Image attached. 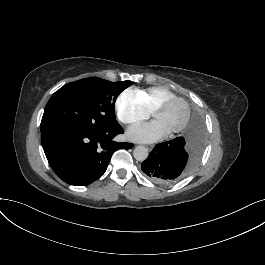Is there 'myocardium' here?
Listing matches in <instances>:
<instances>
[{"label":"myocardium","instance_id":"obj_1","mask_svg":"<svg viewBox=\"0 0 265 265\" xmlns=\"http://www.w3.org/2000/svg\"><path fill=\"white\" fill-rule=\"evenodd\" d=\"M180 102L183 106V109H184V113H183V117L181 119V121L175 125L173 128H171L168 133H177V132H180L182 131L188 121H189V117H190V106L189 104L187 103V101L181 97H177V96H169V97H166L162 100H160L158 103H156V105L153 107L152 111H151V116L154 118L156 112L162 108H164L165 106H167L168 104L172 103V102Z\"/></svg>","mask_w":265,"mask_h":265}]
</instances>
